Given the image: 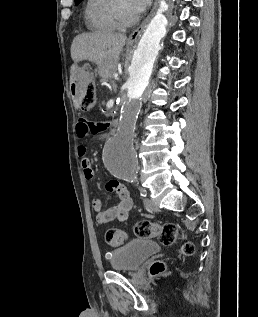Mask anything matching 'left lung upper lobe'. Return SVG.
<instances>
[{"label":"left lung upper lobe","mask_w":258,"mask_h":317,"mask_svg":"<svg viewBox=\"0 0 258 317\" xmlns=\"http://www.w3.org/2000/svg\"><path fill=\"white\" fill-rule=\"evenodd\" d=\"M82 0H75V5H78Z\"/></svg>","instance_id":"obj_1"}]
</instances>
